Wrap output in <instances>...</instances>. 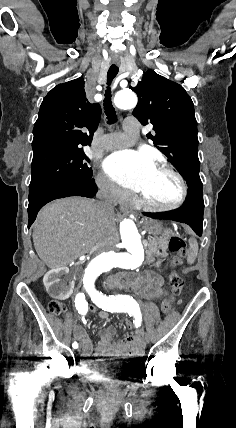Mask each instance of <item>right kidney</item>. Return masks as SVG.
I'll use <instances>...</instances> for the list:
<instances>
[{"label": "right kidney", "mask_w": 236, "mask_h": 428, "mask_svg": "<svg viewBox=\"0 0 236 428\" xmlns=\"http://www.w3.org/2000/svg\"><path fill=\"white\" fill-rule=\"evenodd\" d=\"M44 274V286H48L51 301H64L71 296L72 284L63 283L64 269H46Z\"/></svg>", "instance_id": "right-kidney-1"}]
</instances>
